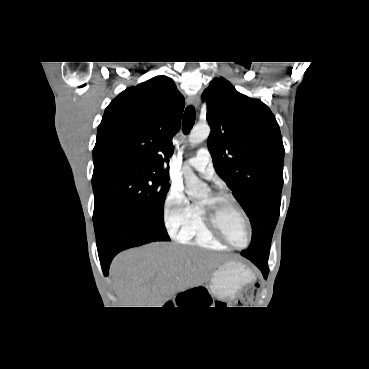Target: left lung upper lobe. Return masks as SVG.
Listing matches in <instances>:
<instances>
[{"label": "left lung upper lobe", "instance_id": "1", "mask_svg": "<svg viewBox=\"0 0 369 369\" xmlns=\"http://www.w3.org/2000/svg\"><path fill=\"white\" fill-rule=\"evenodd\" d=\"M211 127L208 149L217 174L248 215L252 240L241 255L268 262L280 212L284 147L279 125L260 100L215 78L202 94Z\"/></svg>", "mask_w": 369, "mask_h": 369}]
</instances>
